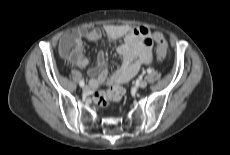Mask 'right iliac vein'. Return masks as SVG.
Wrapping results in <instances>:
<instances>
[{
    "label": "right iliac vein",
    "mask_w": 230,
    "mask_h": 155,
    "mask_svg": "<svg viewBox=\"0 0 230 155\" xmlns=\"http://www.w3.org/2000/svg\"><path fill=\"white\" fill-rule=\"evenodd\" d=\"M82 89L84 92H88L90 90L89 86H87V85L83 86Z\"/></svg>",
    "instance_id": "obj_1"
}]
</instances>
